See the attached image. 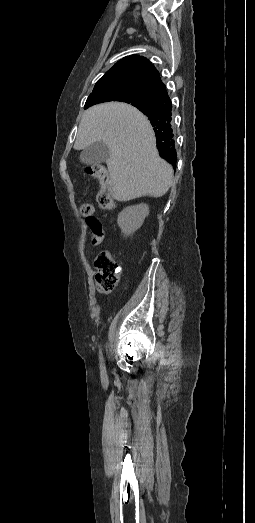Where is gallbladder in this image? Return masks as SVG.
I'll return each mask as SVG.
<instances>
[{
  "label": "gallbladder",
  "instance_id": "obj_1",
  "mask_svg": "<svg viewBox=\"0 0 255 523\" xmlns=\"http://www.w3.org/2000/svg\"><path fill=\"white\" fill-rule=\"evenodd\" d=\"M110 152L104 142H94L91 146L84 148L80 154V162L82 164H93V166H101L103 162L109 160Z\"/></svg>",
  "mask_w": 255,
  "mask_h": 523
}]
</instances>
